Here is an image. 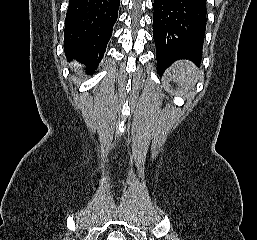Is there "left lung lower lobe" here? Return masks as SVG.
Here are the masks:
<instances>
[{
  "label": "left lung lower lobe",
  "instance_id": "obj_1",
  "mask_svg": "<svg viewBox=\"0 0 257 240\" xmlns=\"http://www.w3.org/2000/svg\"><path fill=\"white\" fill-rule=\"evenodd\" d=\"M157 72L179 59L199 65L207 24L206 0H154Z\"/></svg>",
  "mask_w": 257,
  "mask_h": 240
}]
</instances>
